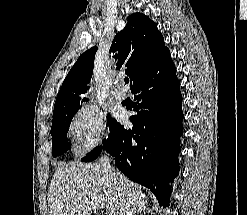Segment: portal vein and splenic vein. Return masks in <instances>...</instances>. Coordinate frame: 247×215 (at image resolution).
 <instances>
[{"mask_svg":"<svg viewBox=\"0 0 247 215\" xmlns=\"http://www.w3.org/2000/svg\"><path fill=\"white\" fill-rule=\"evenodd\" d=\"M93 204L96 208L103 209L105 207L104 201L99 198L93 200Z\"/></svg>","mask_w":247,"mask_h":215,"instance_id":"1","label":"portal vein and splenic vein"}]
</instances>
